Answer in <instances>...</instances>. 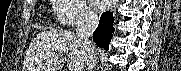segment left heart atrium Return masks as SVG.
<instances>
[{
    "label": "left heart atrium",
    "mask_w": 181,
    "mask_h": 71,
    "mask_svg": "<svg viewBox=\"0 0 181 71\" xmlns=\"http://www.w3.org/2000/svg\"><path fill=\"white\" fill-rule=\"evenodd\" d=\"M106 3H108L107 0H103V1H97V6L99 8H104L106 6Z\"/></svg>",
    "instance_id": "obj_1"
}]
</instances>
